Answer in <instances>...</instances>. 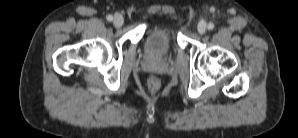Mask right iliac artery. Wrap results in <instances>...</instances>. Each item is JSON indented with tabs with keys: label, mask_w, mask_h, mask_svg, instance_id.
<instances>
[{
	"label": "right iliac artery",
	"mask_w": 298,
	"mask_h": 138,
	"mask_svg": "<svg viewBox=\"0 0 298 138\" xmlns=\"http://www.w3.org/2000/svg\"><path fill=\"white\" fill-rule=\"evenodd\" d=\"M107 20H108V21H112V20H113L112 15H108V16H107Z\"/></svg>",
	"instance_id": "right-iliac-artery-1"
}]
</instances>
